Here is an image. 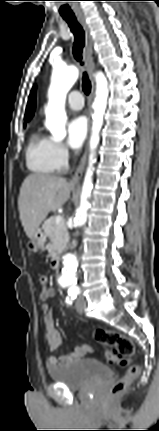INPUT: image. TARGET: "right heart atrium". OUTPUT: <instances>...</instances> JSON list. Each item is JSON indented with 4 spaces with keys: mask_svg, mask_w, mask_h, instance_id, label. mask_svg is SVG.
<instances>
[{
    "mask_svg": "<svg viewBox=\"0 0 159 431\" xmlns=\"http://www.w3.org/2000/svg\"><path fill=\"white\" fill-rule=\"evenodd\" d=\"M50 153L57 170L66 167L70 154L67 146L63 142L50 139Z\"/></svg>",
    "mask_w": 159,
    "mask_h": 431,
    "instance_id": "obj_1",
    "label": "right heart atrium"
}]
</instances>
